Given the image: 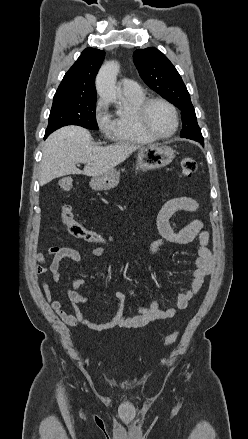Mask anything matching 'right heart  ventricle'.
<instances>
[{
    "instance_id": "e07e8e85",
    "label": "right heart ventricle",
    "mask_w": 248,
    "mask_h": 439,
    "mask_svg": "<svg viewBox=\"0 0 248 439\" xmlns=\"http://www.w3.org/2000/svg\"><path fill=\"white\" fill-rule=\"evenodd\" d=\"M127 107L118 111L112 118L111 137L119 143L149 144L155 138L148 135L139 125L136 111L140 103L146 98L142 89L136 93H123Z\"/></svg>"
}]
</instances>
